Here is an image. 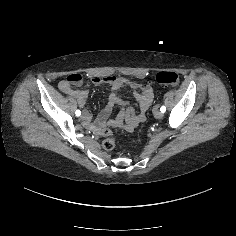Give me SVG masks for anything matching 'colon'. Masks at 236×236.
I'll return each instance as SVG.
<instances>
[{
    "label": "colon",
    "instance_id": "1",
    "mask_svg": "<svg viewBox=\"0 0 236 236\" xmlns=\"http://www.w3.org/2000/svg\"><path fill=\"white\" fill-rule=\"evenodd\" d=\"M66 81L73 86L80 85L83 78L80 74H71L67 77ZM156 82L165 86H177L179 84V77L175 72L172 71H162L156 75ZM103 148L105 150H112L114 147V139L109 130H103Z\"/></svg>",
    "mask_w": 236,
    "mask_h": 236
}]
</instances>
